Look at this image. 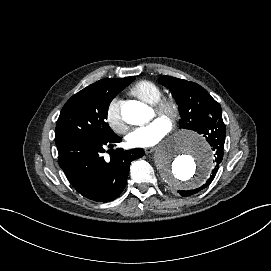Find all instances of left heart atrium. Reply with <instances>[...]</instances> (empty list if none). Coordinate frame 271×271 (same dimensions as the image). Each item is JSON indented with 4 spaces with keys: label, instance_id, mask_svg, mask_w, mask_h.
Here are the masks:
<instances>
[{
    "label": "left heart atrium",
    "instance_id": "obj_1",
    "mask_svg": "<svg viewBox=\"0 0 271 271\" xmlns=\"http://www.w3.org/2000/svg\"><path fill=\"white\" fill-rule=\"evenodd\" d=\"M171 131V126L163 118H156L143 127L132 129L127 141L133 147L147 148L160 143Z\"/></svg>",
    "mask_w": 271,
    "mask_h": 271
}]
</instances>
